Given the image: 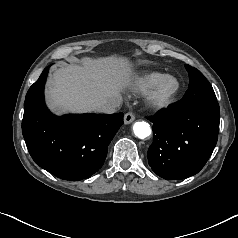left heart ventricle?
Returning a JSON list of instances; mask_svg holds the SVG:
<instances>
[{
  "label": "left heart ventricle",
  "mask_w": 238,
  "mask_h": 238,
  "mask_svg": "<svg viewBox=\"0 0 238 238\" xmlns=\"http://www.w3.org/2000/svg\"><path fill=\"white\" fill-rule=\"evenodd\" d=\"M174 87V82L171 80L165 81L162 85V92L163 93H167L169 91H171Z\"/></svg>",
  "instance_id": "obj_1"
}]
</instances>
